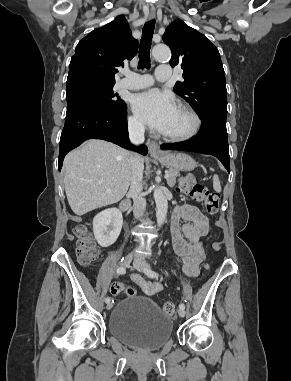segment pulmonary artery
Segmentation results:
<instances>
[{
	"label": "pulmonary artery",
	"mask_w": 291,
	"mask_h": 381,
	"mask_svg": "<svg viewBox=\"0 0 291 381\" xmlns=\"http://www.w3.org/2000/svg\"><path fill=\"white\" fill-rule=\"evenodd\" d=\"M171 77V67L169 65H159L155 71V78L158 81H166ZM154 79L149 74H138L126 71L120 80L119 86L124 89L138 90L153 85Z\"/></svg>",
	"instance_id": "1"
}]
</instances>
